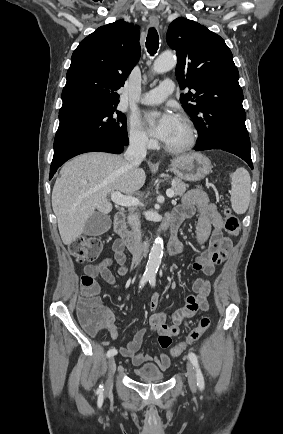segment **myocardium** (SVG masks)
<instances>
[{
	"instance_id": "obj_1",
	"label": "myocardium",
	"mask_w": 283,
	"mask_h": 434,
	"mask_svg": "<svg viewBox=\"0 0 283 434\" xmlns=\"http://www.w3.org/2000/svg\"><path fill=\"white\" fill-rule=\"evenodd\" d=\"M178 118L183 122L186 129V139L180 145H170L164 143V148L170 153H183L192 149L197 141V130L192 120L185 114H180Z\"/></svg>"
}]
</instances>
